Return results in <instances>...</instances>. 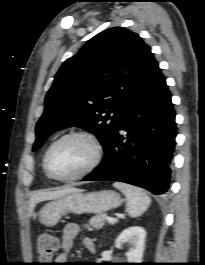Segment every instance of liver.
Wrapping results in <instances>:
<instances>
[{"label": "liver", "instance_id": "6515ba94", "mask_svg": "<svg viewBox=\"0 0 205 265\" xmlns=\"http://www.w3.org/2000/svg\"><path fill=\"white\" fill-rule=\"evenodd\" d=\"M73 192H82L81 189L75 188V187H64L59 190L55 191H40L35 193L29 202V215L32 214L34 207L36 206L37 203L42 202V201H47V200H52V199H57L60 198L64 195L73 193Z\"/></svg>", "mask_w": 205, "mask_h": 265}]
</instances>
